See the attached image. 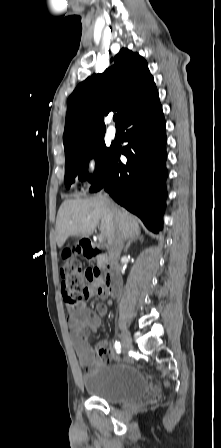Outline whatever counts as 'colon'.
<instances>
[{
  "label": "colon",
  "mask_w": 221,
  "mask_h": 448,
  "mask_svg": "<svg viewBox=\"0 0 221 448\" xmlns=\"http://www.w3.org/2000/svg\"><path fill=\"white\" fill-rule=\"evenodd\" d=\"M77 250L65 248L61 253V286L66 303L77 305L83 300L87 284L101 280V272L97 268H83L76 256Z\"/></svg>",
  "instance_id": "obj_1"
}]
</instances>
